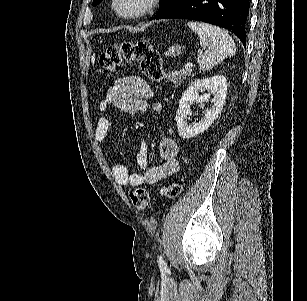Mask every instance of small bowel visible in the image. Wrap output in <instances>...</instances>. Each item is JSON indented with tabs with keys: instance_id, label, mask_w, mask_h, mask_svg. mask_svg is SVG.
<instances>
[{
	"instance_id": "small-bowel-1",
	"label": "small bowel",
	"mask_w": 307,
	"mask_h": 301,
	"mask_svg": "<svg viewBox=\"0 0 307 301\" xmlns=\"http://www.w3.org/2000/svg\"><path fill=\"white\" fill-rule=\"evenodd\" d=\"M152 97L153 90L145 80L138 76H127L118 79L109 87L105 98L99 104V110L106 113L110 106H115L129 113H139L148 108V101ZM154 109L158 111L159 105H155ZM110 128L111 121L107 117H100L96 124V140L101 143L105 142ZM178 152L176 142L171 138H165L159 145L162 162L159 165L148 167V146L145 142H140L136 160L143 171L130 174L124 165L116 164L112 169L113 177L120 185L154 184L178 171Z\"/></svg>"
}]
</instances>
